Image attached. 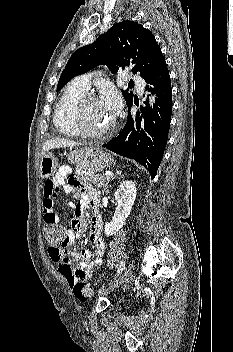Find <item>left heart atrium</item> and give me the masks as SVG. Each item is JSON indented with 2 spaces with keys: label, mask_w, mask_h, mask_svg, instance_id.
Masks as SVG:
<instances>
[{
  "label": "left heart atrium",
  "mask_w": 233,
  "mask_h": 352,
  "mask_svg": "<svg viewBox=\"0 0 233 352\" xmlns=\"http://www.w3.org/2000/svg\"><path fill=\"white\" fill-rule=\"evenodd\" d=\"M101 103L112 117L118 113L121 107L120 99L113 91L107 92L102 98Z\"/></svg>",
  "instance_id": "obj_1"
}]
</instances>
